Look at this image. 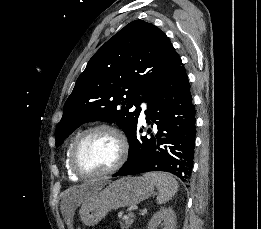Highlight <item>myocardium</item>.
I'll return each instance as SVG.
<instances>
[{"mask_svg":"<svg viewBox=\"0 0 261 229\" xmlns=\"http://www.w3.org/2000/svg\"><path fill=\"white\" fill-rule=\"evenodd\" d=\"M100 131L108 132L115 137L119 147V155L117 161L112 167L104 171H100V172L85 171L77 165L76 162L77 151L89 136ZM128 153H129L128 140L125 134L119 128L110 125H98V126L91 127L85 130L84 132H82L73 142L70 148L69 166L71 170L81 178H96V177L108 176L118 171L123 166V164L127 160Z\"/></svg>","mask_w":261,"mask_h":229,"instance_id":"myocardium-1","label":"myocardium"}]
</instances>
